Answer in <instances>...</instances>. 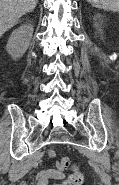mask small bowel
I'll list each match as a JSON object with an SVG mask.
<instances>
[{
    "label": "small bowel",
    "instance_id": "c3829d8e",
    "mask_svg": "<svg viewBox=\"0 0 119 185\" xmlns=\"http://www.w3.org/2000/svg\"><path fill=\"white\" fill-rule=\"evenodd\" d=\"M49 157L53 159L55 157L54 150H49ZM63 168L59 165L58 162H55L50 167H44L40 169L37 173V185H48L50 179L53 180H62L65 178L64 173L62 172ZM59 185V184H55Z\"/></svg>",
    "mask_w": 119,
    "mask_h": 185
}]
</instances>
